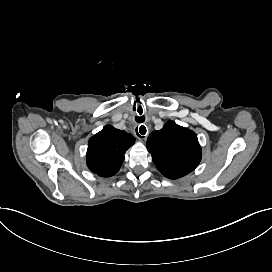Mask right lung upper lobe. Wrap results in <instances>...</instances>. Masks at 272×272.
I'll return each mask as SVG.
<instances>
[{
	"mask_svg": "<svg viewBox=\"0 0 272 272\" xmlns=\"http://www.w3.org/2000/svg\"><path fill=\"white\" fill-rule=\"evenodd\" d=\"M135 138L125 131L111 125L105 126L88 143L87 166L101 177H110L117 173L124 161L126 150Z\"/></svg>",
	"mask_w": 272,
	"mask_h": 272,
	"instance_id": "cb5924a9",
	"label": "right lung upper lobe"
}]
</instances>
